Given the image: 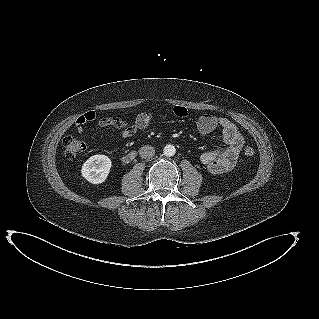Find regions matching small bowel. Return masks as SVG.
<instances>
[{
    "label": "small bowel",
    "instance_id": "small-bowel-1",
    "mask_svg": "<svg viewBox=\"0 0 319 319\" xmlns=\"http://www.w3.org/2000/svg\"><path fill=\"white\" fill-rule=\"evenodd\" d=\"M173 113L179 118H185L188 115V110L183 106H175ZM151 119V112H142L136 116L133 123L126 122L120 116H113L100 119L99 125L118 128L121 130L122 138H130L137 131L146 129ZM83 125L80 122L76 123L78 132L83 131ZM217 128H220L224 146L204 152L200 156V162L212 173H221L232 169L244 144V137L238 127L227 118L204 114L197 121L198 132L203 136L212 133Z\"/></svg>",
    "mask_w": 319,
    "mask_h": 319
}]
</instances>
